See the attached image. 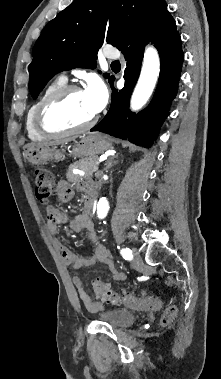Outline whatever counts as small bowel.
I'll return each instance as SVG.
<instances>
[{"label": "small bowel", "instance_id": "c3829d8e", "mask_svg": "<svg viewBox=\"0 0 221 379\" xmlns=\"http://www.w3.org/2000/svg\"><path fill=\"white\" fill-rule=\"evenodd\" d=\"M92 186L91 182L85 181L79 188L88 191ZM75 194L74 187L67 181L60 180L58 182V199L62 203H68ZM69 222L71 230L77 233H84L86 237L93 243L94 250L88 259L78 257L73 251L68 249L59 239V226L63 223ZM47 230L52 237L56 247L61 253V257L65 265L77 270L82 267H94L97 265H107L111 272L112 278L116 281L125 280V274L120 271L113 263L112 257L108 249L102 245L97 238L95 225L89 214L83 212L72 218H68L61 210L55 207L47 208ZM73 284L77 290L80 299L89 310H97L101 304L92 300L85 288L81 279L78 276L72 277Z\"/></svg>", "mask_w": 221, "mask_h": 379}]
</instances>
